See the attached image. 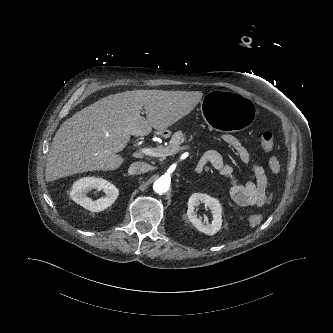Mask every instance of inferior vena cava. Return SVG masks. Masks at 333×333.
<instances>
[{
  "mask_svg": "<svg viewBox=\"0 0 333 333\" xmlns=\"http://www.w3.org/2000/svg\"><path fill=\"white\" fill-rule=\"evenodd\" d=\"M150 167L151 166L145 162H133L129 167V171L132 174H142L148 172Z\"/></svg>",
  "mask_w": 333,
  "mask_h": 333,
  "instance_id": "inferior-vena-cava-1",
  "label": "inferior vena cava"
}]
</instances>
